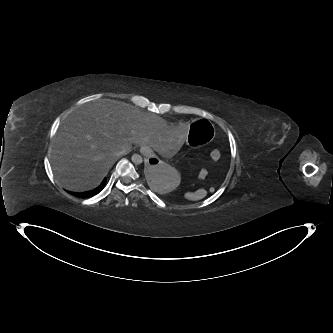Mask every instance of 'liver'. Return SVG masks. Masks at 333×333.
<instances>
[{
    "instance_id": "6515ba94",
    "label": "liver",
    "mask_w": 333,
    "mask_h": 333,
    "mask_svg": "<svg viewBox=\"0 0 333 333\" xmlns=\"http://www.w3.org/2000/svg\"><path fill=\"white\" fill-rule=\"evenodd\" d=\"M188 134L183 119H164L125 102L101 99L79 106L59 128L51 145L52 169L64 188L84 192L100 185L132 144L173 156ZM122 153V154H120Z\"/></svg>"
}]
</instances>
